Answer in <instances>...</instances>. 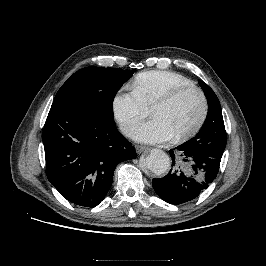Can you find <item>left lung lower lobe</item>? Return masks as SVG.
Listing matches in <instances>:
<instances>
[{
	"mask_svg": "<svg viewBox=\"0 0 266 266\" xmlns=\"http://www.w3.org/2000/svg\"><path fill=\"white\" fill-rule=\"evenodd\" d=\"M172 168L160 179H153L155 192L170 204H182L198 197L219 171L220 159L189 149L183 144L169 150Z\"/></svg>",
	"mask_w": 266,
	"mask_h": 266,
	"instance_id": "obj_1",
	"label": "left lung lower lobe"
}]
</instances>
